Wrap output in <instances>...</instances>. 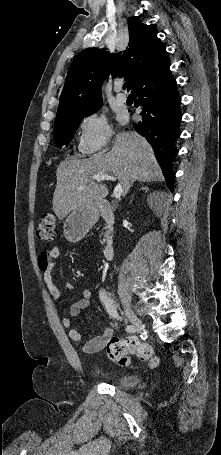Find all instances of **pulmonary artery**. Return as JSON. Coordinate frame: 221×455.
Segmentation results:
<instances>
[{
    "label": "pulmonary artery",
    "instance_id": "obj_1",
    "mask_svg": "<svg viewBox=\"0 0 221 455\" xmlns=\"http://www.w3.org/2000/svg\"><path fill=\"white\" fill-rule=\"evenodd\" d=\"M115 90L117 101L120 103H125L127 101V96L123 92H121V87L117 86Z\"/></svg>",
    "mask_w": 221,
    "mask_h": 455
}]
</instances>
